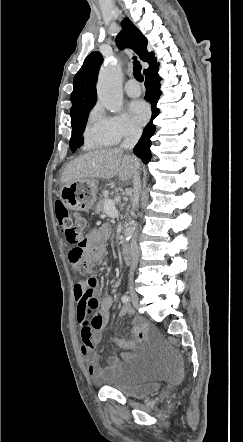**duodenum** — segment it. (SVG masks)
I'll return each instance as SVG.
<instances>
[{
  "mask_svg": "<svg viewBox=\"0 0 243 442\" xmlns=\"http://www.w3.org/2000/svg\"><path fill=\"white\" fill-rule=\"evenodd\" d=\"M122 255L123 258L125 260V262L127 263H131L132 261V253H131V249L128 245H125L122 249Z\"/></svg>",
  "mask_w": 243,
  "mask_h": 442,
  "instance_id": "duodenum-1",
  "label": "duodenum"
}]
</instances>
